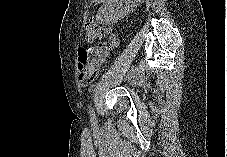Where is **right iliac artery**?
<instances>
[{"label": "right iliac artery", "mask_w": 227, "mask_h": 157, "mask_svg": "<svg viewBox=\"0 0 227 157\" xmlns=\"http://www.w3.org/2000/svg\"><path fill=\"white\" fill-rule=\"evenodd\" d=\"M91 123H92V126L95 128L97 125V122H96L95 114L93 112L91 113Z\"/></svg>", "instance_id": "1"}]
</instances>
